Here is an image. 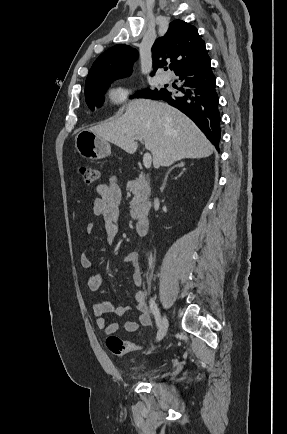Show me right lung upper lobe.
Instances as JSON below:
<instances>
[{"label": "right lung upper lobe", "mask_w": 287, "mask_h": 434, "mask_svg": "<svg viewBox=\"0 0 287 434\" xmlns=\"http://www.w3.org/2000/svg\"><path fill=\"white\" fill-rule=\"evenodd\" d=\"M205 51V43L196 27L182 20H174L167 33L152 46L154 71L151 75L166 65L167 59H171L170 67L176 74ZM137 57V50L129 45L118 44L109 48L93 63L85 85L130 75L132 63Z\"/></svg>", "instance_id": "right-lung-upper-lobe-1"}]
</instances>
